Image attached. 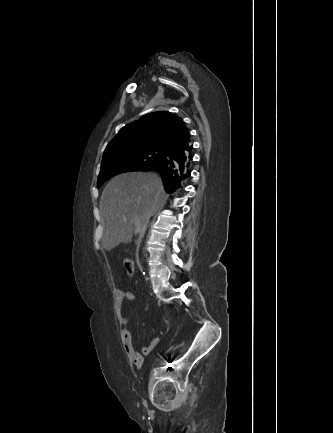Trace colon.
Instances as JSON below:
<instances>
[{
	"instance_id": "colon-1",
	"label": "colon",
	"mask_w": 333,
	"mask_h": 433,
	"mask_svg": "<svg viewBox=\"0 0 333 433\" xmlns=\"http://www.w3.org/2000/svg\"><path fill=\"white\" fill-rule=\"evenodd\" d=\"M124 268H125L128 275H132L134 273L135 265H134V262L131 260L130 257L124 258Z\"/></svg>"
}]
</instances>
